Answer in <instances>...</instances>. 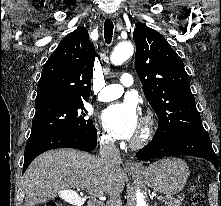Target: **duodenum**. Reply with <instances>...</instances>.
Instances as JSON below:
<instances>
[{
	"mask_svg": "<svg viewBox=\"0 0 221 206\" xmlns=\"http://www.w3.org/2000/svg\"><path fill=\"white\" fill-rule=\"evenodd\" d=\"M88 206H104V204L99 200L93 199L89 202Z\"/></svg>",
	"mask_w": 221,
	"mask_h": 206,
	"instance_id": "obj_1",
	"label": "duodenum"
}]
</instances>
